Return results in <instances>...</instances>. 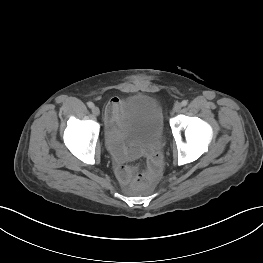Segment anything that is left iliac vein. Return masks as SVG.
<instances>
[{
  "instance_id": "1",
  "label": "left iliac vein",
  "mask_w": 263,
  "mask_h": 263,
  "mask_svg": "<svg viewBox=\"0 0 263 263\" xmlns=\"http://www.w3.org/2000/svg\"><path fill=\"white\" fill-rule=\"evenodd\" d=\"M181 108H182V105L180 103H177L174 105L173 110L174 112H180Z\"/></svg>"
}]
</instances>
